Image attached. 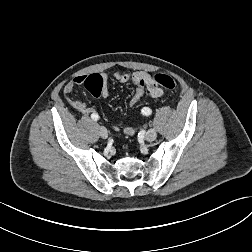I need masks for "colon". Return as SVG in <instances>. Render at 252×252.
<instances>
[{
  "label": "colon",
  "mask_w": 252,
  "mask_h": 252,
  "mask_svg": "<svg viewBox=\"0 0 252 252\" xmlns=\"http://www.w3.org/2000/svg\"><path fill=\"white\" fill-rule=\"evenodd\" d=\"M153 80L156 84L163 86L168 90H173L176 87L174 79L163 73H156L153 76ZM84 87L95 97L102 96L103 92L107 90L106 79L100 74H91L84 80ZM145 93L144 83L139 82L137 89L130 99V105L134 106L140 102Z\"/></svg>",
  "instance_id": "1"
}]
</instances>
